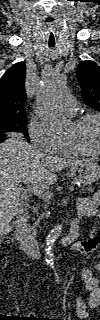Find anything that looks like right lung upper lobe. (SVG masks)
I'll use <instances>...</instances> for the list:
<instances>
[{
  "instance_id": "cb5924a9",
  "label": "right lung upper lobe",
  "mask_w": 100,
  "mask_h": 320,
  "mask_svg": "<svg viewBox=\"0 0 100 320\" xmlns=\"http://www.w3.org/2000/svg\"><path fill=\"white\" fill-rule=\"evenodd\" d=\"M25 77V64L19 62L11 66L0 79V120L26 116Z\"/></svg>"
}]
</instances>
